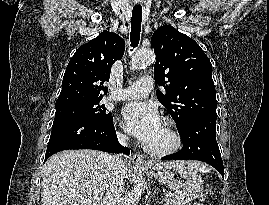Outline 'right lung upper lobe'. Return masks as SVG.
Returning <instances> with one entry per match:
<instances>
[{"instance_id": "1", "label": "right lung upper lobe", "mask_w": 269, "mask_h": 205, "mask_svg": "<svg viewBox=\"0 0 269 205\" xmlns=\"http://www.w3.org/2000/svg\"><path fill=\"white\" fill-rule=\"evenodd\" d=\"M124 49V40L109 31L79 47L68 63L55 107L101 100L108 90L103 82L109 81L111 67Z\"/></svg>"}]
</instances>
